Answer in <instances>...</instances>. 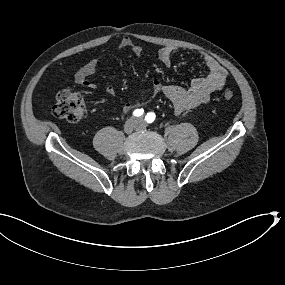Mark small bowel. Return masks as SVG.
Returning a JSON list of instances; mask_svg holds the SVG:
<instances>
[{
	"label": "small bowel",
	"instance_id": "small-bowel-1",
	"mask_svg": "<svg viewBox=\"0 0 285 285\" xmlns=\"http://www.w3.org/2000/svg\"><path fill=\"white\" fill-rule=\"evenodd\" d=\"M120 47L130 49L135 55L141 56L143 48L136 44L130 37H123L120 41ZM176 49L172 46L162 47L158 51L159 60L165 65H170L172 56ZM203 63L207 69V74L203 77L194 78L189 87L185 88L178 85H163L158 81L153 83L152 92L154 94H163L168 98L177 114L186 110L193 109L199 105L205 104L210 100L211 94L223 88L227 71L213 57L208 54H201ZM98 67V60L92 59L88 61L75 75V82L87 89H96L98 84L89 80ZM106 93L113 96L116 92L113 85H107ZM135 108L133 103H126L123 111H129Z\"/></svg>",
	"mask_w": 285,
	"mask_h": 285
}]
</instances>
